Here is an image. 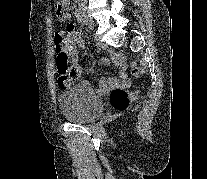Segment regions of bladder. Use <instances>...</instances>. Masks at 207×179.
Listing matches in <instances>:
<instances>
[{"mask_svg":"<svg viewBox=\"0 0 207 179\" xmlns=\"http://www.w3.org/2000/svg\"><path fill=\"white\" fill-rule=\"evenodd\" d=\"M61 114L74 123H86L103 113L101 98L94 92L88 81L76 83L70 90L58 96Z\"/></svg>","mask_w":207,"mask_h":179,"instance_id":"1","label":"bladder"}]
</instances>
